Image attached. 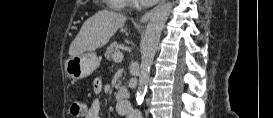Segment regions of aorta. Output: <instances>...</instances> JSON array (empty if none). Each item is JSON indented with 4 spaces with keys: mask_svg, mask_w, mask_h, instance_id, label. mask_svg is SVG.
Returning <instances> with one entry per match:
<instances>
[{
    "mask_svg": "<svg viewBox=\"0 0 273 118\" xmlns=\"http://www.w3.org/2000/svg\"><path fill=\"white\" fill-rule=\"evenodd\" d=\"M173 8V3L167 1L161 5L151 16L146 27L141 47V71L139 76V87L136 95L137 103L140 105L147 89L150 68L156 54L162 29Z\"/></svg>",
    "mask_w": 273,
    "mask_h": 118,
    "instance_id": "obj_1",
    "label": "aorta"
}]
</instances>
